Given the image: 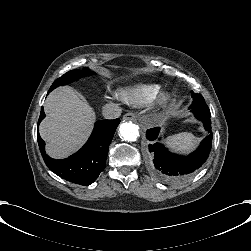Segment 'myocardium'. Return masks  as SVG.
Here are the masks:
<instances>
[{
  "label": "myocardium",
  "instance_id": "myocardium-1",
  "mask_svg": "<svg viewBox=\"0 0 251 251\" xmlns=\"http://www.w3.org/2000/svg\"><path fill=\"white\" fill-rule=\"evenodd\" d=\"M151 102L156 109L169 108L177 102V95L166 85H159Z\"/></svg>",
  "mask_w": 251,
  "mask_h": 251
}]
</instances>
